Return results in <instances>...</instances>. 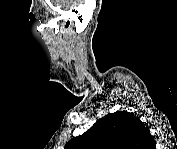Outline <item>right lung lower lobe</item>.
<instances>
[{
	"label": "right lung lower lobe",
	"instance_id": "98d812e1",
	"mask_svg": "<svg viewBox=\"0 0 177 149\" xmlns=\"http://www.w3.org/2000/svg\"><path fill=\"white\" fill-rule=\"evenodd\" d=\"M147 140L150 141V140H153V137L151 136V134L149 133V136L147 137ZM155 146V142L153 140V145L151 147H154Z\"/></svg>",
	"mask_w": 177,
	"mask_h": 149
}]
</instances>
